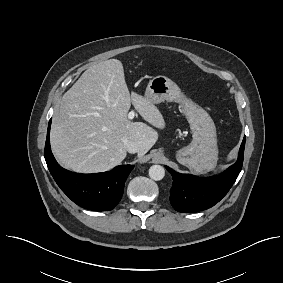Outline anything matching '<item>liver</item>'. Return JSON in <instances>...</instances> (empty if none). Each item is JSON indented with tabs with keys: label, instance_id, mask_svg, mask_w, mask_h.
I'll use <instances>...</instances> for the list:
<instances>
[{
	"label": "liver",
	"instance_id": "6515ba94",
	"mask_svg": "<svg viewBox=\"0 0 283 283\" xmlns=\"http://www.w3.org/2000/svg\"><path fill=\"white\" fill-rule=\"evenodd\" d=\"M131 103L141 117L165 128L159 109L146 97L129 93L120 60L88 68L63 95L50 133L52 152L65 168L79 173L104 172L126 157L124 140L135 141L145 155L158 140L155 129L128 119Z\"/></svg>",
	"mask_w": 283,
	"mask_h": 283
}]
</instances>
